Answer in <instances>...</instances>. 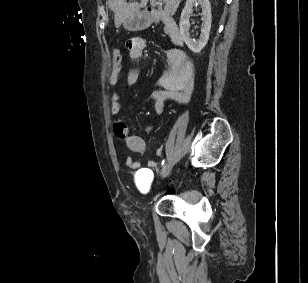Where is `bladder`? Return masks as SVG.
I'll return each instance as SVG.
<instances>
[{
  "instance_id": "31cf9c89",
  "label": "bladder",
  "mask_w": 308,
  "mask_h": 283,
  "mask_svg": "<svg viewBox=\"0 0 308 283\" xmlns=\"http://www.w3.org/2000/svg\"><path fill=\"white\" fill-rule=\"evenodd\" d=\"M139 189L144 194H150L153 188V174L147 169L139 170L135 176Z\"/></svg>"
}]
</instances>
